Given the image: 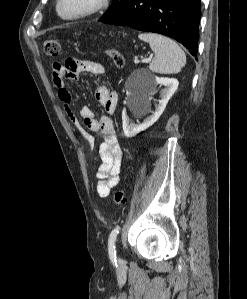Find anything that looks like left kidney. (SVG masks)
Here are the masks:
<instances>
[{"instance_id":"left-kidney-1","label":"left kidney","mask_w":247,"mask_h":299,"mask_svg":"<svg viewBox=\"0 0 247 299\" xmlns=\"http://www.w3.org/2000/svg\"><path fill=\"white\" fill-rule=\"evenodd\" d=\"M158 85H163L165 88L161 91V100L156 106L152 116L145 119L142 124L136 125L130 121L125 113L122 114V126L126 137H133L137 135L141 131H144L152 126L159 119L169 99L177 90L179 82L174 78L155 77L154 79L150 80V86L145 93L139 94L130 92L127 95V104L131 107L134 113L141 115L149 109L150 95L156 90Z\"/></svg>"}]
</instances>
